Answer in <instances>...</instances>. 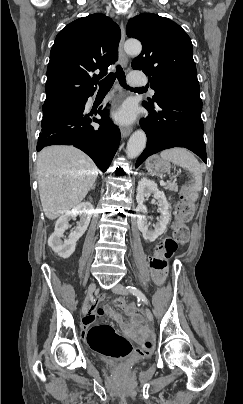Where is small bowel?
I'll use <instances>...</instances> for the list:
<instances>
[{"label": "small bowel", "instance_id": "obj_1", "mask_svg": "<svg viewBox=\"0 0 243 404\" xmlns=\"http://www.w3.org/2000/svg\"><path fill=\"white\" fill-rule=\"evenodd\" d=\"M107 310L105 308L99 307L97 304H94L91 309L89 314L83 318L82 323H81V328L83 332H87L88 329L95 323V321L104 316ZM135 326V322L129 325L124 326V332L127 335L132 336L133 335V329Z\"/></svg>", "mask_w": 243, "mask_h": 404}]
</instances>
